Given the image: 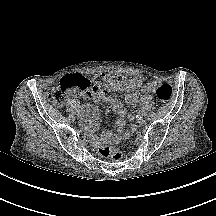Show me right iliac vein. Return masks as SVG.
I'll return each mask as SVG.
<instances>
[{
  "label": "right iliac vein",
  "mask_w": 216,
  "mask_h": 216,
  "mask_svg": "<svg viewBox=\"0 0 216 216\" xmlns=\"http://www.w3.org/2000/svg\"><path fill=\"white\" fill-rule=\"evenodd\" d=\"M78 118L81 119V120H83L85 118L84 113L83 114L78 113Z\"/></svg>",
  "instance_id": "63e3f726"
}]
</instances>
